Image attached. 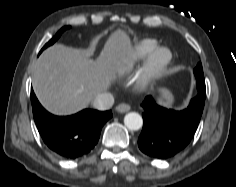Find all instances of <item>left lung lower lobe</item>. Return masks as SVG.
I'll list each match as a JSON object with an SVG mask.
<instances>
[{"label": "left lung lower lobe", "instance_id": "0a47b994", "mask_svg": "<svg viewBox=\"0 0 236 187\" xmlns=\"http://www.w3.org/2000/svg\"><path fill=\"white\" fill-rule=\"evenodd\" d=\"M206 94L198 91L182 111L163 108L147 96L142 103L143 129L138 138L140 150L149 157L167 159L191 141L199 125Z\"/></svg>", "mask_w": 236, "mask_h": 187}]
</instances>
